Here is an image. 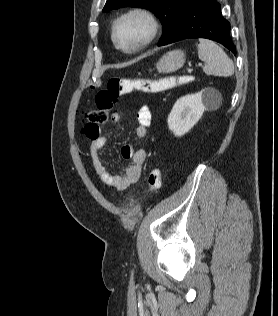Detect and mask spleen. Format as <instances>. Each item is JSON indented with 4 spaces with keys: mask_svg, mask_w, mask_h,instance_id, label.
Masks as SVG:
<instances>
[{
    "mask_svg": "<svg viewBox=\"0 0 278 316\" xmlns=\"http://www.w3.org/2000/svg\"><path fill=\"white\" fill-rule=\"evenodd\" d=\"M199 59L206 65L203 71L208 75L231 76L234 73L233 61L215 42L200 39L197 44Z\"/></svg>",
    "mask_w": 278,
    "mask_h": 316,
    "instance_id": "spleen-1",
    "label": "spleen"
}]
</instances>
